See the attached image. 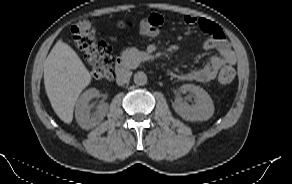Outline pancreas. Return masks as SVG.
Listing matches in <instances>:
<instances>
[{
    "label": "pancreas",
    "mask_w": 292,
    "mask_h": 184,
    "mask_svg": "<svg viewBox=\"0 0 292 184\" xmlns=\"http://www.w3.org/2000/svg\"><path fill=\"white\" fill-rule=\"evenodd\" d=\"M121 56L125 66L129 69L136 68L141 62L140 51L136 48L125 49Z\"/></svg>",
    "instance_id": "cf45deb5"
}]
</instances>
